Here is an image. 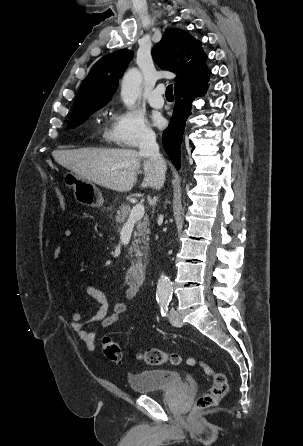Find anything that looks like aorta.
<instances>
[{
    "mask_svg": "<svg viewBox=\"0 0 303 446\" xmlns=\"http://www.w3.org/2000/svg\"><path fill=\"white\" fill-rule=\"evenodd\" d=\"M142 74L136 68L125 73L121 83V98L124 104L133 105L142 94ZM172 282L161 274L157 282L156 296L159 301H169L172 296Z\"/></svg>",
    "mask_w": 303,
    "mask_h": 446,
    "instance_id": "aorta-1",
    "label": "aorta"
}]
</instances>
